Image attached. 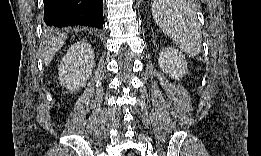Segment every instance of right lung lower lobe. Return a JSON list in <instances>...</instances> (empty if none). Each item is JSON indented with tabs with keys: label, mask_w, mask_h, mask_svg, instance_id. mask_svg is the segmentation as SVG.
I'll list each match as a JSON object with an SVG mask.
<instances>
[{
	"label": "right lung lower lobe",
	"mask_w": 261,
	"mask_h": 156,
	"mask_svg": "<svg viewBox=\"0 0 261 156\" xmlns=\"http://www.w3.org/2000/svg\"><path fill=\"white\" fill-rule=\"evenodd\" d=\"M44 21L49 29L68 26L103 27V0H44Z\"/></svg>",
	"instance_id": "1"
}]
</instances>
